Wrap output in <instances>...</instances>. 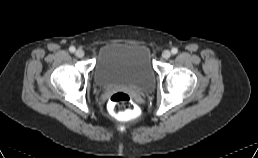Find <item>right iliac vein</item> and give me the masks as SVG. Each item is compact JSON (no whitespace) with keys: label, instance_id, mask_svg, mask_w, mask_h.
Here are the masks:
<instances>
[{"label":"right iliac vein","instance_id":"63e3f726","mask_svg":"<svg viewBox=\"0 0 258 158\" xmlns=\"http://www.w3.org/2000/svg\"><path fill=\"white\" fill-rule=\"evenodd\" d=\"M75 55L78 58H82L84 56V51L82 49H78V50H76Z\"/></svg>","mask_w":258,"mask_h":158}]
</instances>
